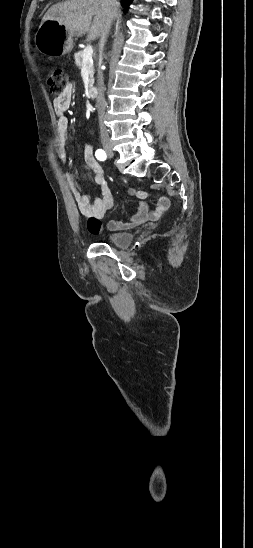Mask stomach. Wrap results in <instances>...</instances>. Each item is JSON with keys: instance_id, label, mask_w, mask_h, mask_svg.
Wrapping results in <instances>:
<instances>
[{"instance_id": "1", "label": "stomach", "mask_w": 253, "mask_h": 548, "mask_svg": "<svg viewBox=\"0 0 253 548\" xmlns=\"http://www.w3.org/2000/svg\"><path fill=\"white\" fill-rule=\"evenodd\" d=\"M35 45L44 55L62 56L73 49L74 41L58 21L47 20L35 35Z\"/></svg>"}]
</instances>
